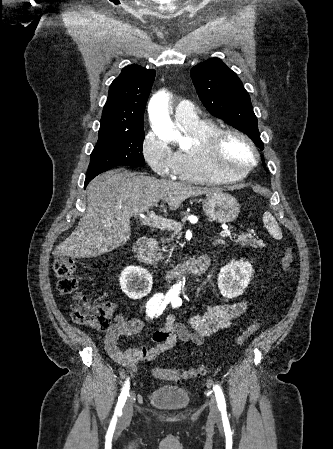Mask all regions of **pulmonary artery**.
Returning a JSON list of instances; mask_svg holds the SVG:
<instances>
[{"label":"pulmonary artery","instance_id":"e3ab8cb5","mask_svg":"<svg viewBox=\"0 0 333 449\" xmlns=\"http://www.w3.org/2000/svg\"><path fill=\"white\" fill-rule=\"evenodd\" d=\"M174 118L178 124L182 125H190L199 121L194 105L188 100H183L177 105Z\"/></svg>","mask_w":333,"mask_h":449}]
</instances>
